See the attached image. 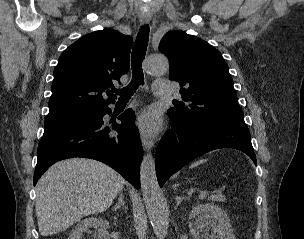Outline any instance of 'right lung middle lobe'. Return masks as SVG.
Masks as SVG:
<instances>
[{"label": "right lung middle lobe", "instance_id": "right-lung-middle-lobe-1", "mask_svg": "<svg viewBox=\"0 0 304 239\" xmlns=\"http://www.w3.org/2000/svg\"><path fill=\"white\" fill-rule=\"evenodd\" d=\"M97 110H93V111H89V112H85L79 115H75L72 117H68V118H63V119H56V120H46L45 123H49V122H58V121H67V120H76V119H84V118H88L90 117L92 114H94Z\"/></svg>", "mask_w": 304, "mask_h": 239}]
</instances>
